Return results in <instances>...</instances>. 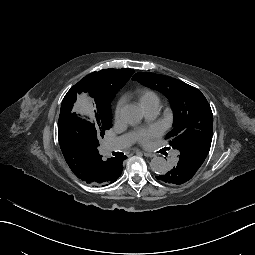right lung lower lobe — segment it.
I'll use <instances>...</instances> for the list:
<instances>
[{"label": "right lung lower lobe", "mask_w": 255, "mask_h": 255, "mask_svg": "<svg viewBox=\"0 0 255 255\" xmlns=\"http://www.w3.org/2000/svg\"><path fill=\"white\" fill-rule=\"evenodd\" d=\"M91 177H92L93 179H96V178L98 177V174H97L96 172H93V173L91 174Z\"/></svg>", "instance_id": "right-lung-lower-lobe-1"}]
</instances>
